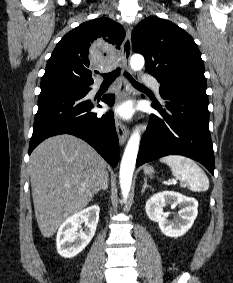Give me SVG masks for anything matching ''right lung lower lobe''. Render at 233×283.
Segmentation results:
<instances>
[{
    "label": "right lung lower lobe",
    "mask_w": 233,
    "mask_h": 283,
    "mask_svg": "<svg viewBox=\"0 0 233 283\" xmlns=\"http://www.w3.org/2000/svg\"><path fill=\"white\" fill-rule=\"evenodd\" d=\"M89 90L90 88L83 92L65 89L41 91L29 154L46 138L66 133L85 140L109 164L117 165L119 141L114 116L111 112L102 116L90 112L94 105L85 98ZM102 101L113 105L114 95H105Z\"/></svg>",
    "instance_id": "obj_1"
}]
</instances>
